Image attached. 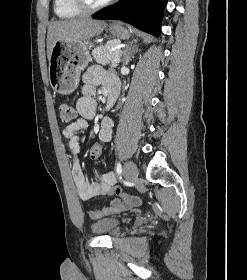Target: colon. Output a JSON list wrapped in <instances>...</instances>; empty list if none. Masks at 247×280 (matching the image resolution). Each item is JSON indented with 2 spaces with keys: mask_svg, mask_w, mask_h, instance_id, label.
<instances>
[{
  "mask_svg": "<svg viewBox=\"0 0 247 280\" xmlns=\"http://www.w3.org/2000/svg\"><path fill=\"white\" fill-rule=\"evenodd\" d=\"M76 116L74 108L71 106V104L67 102H61L59 104V117L60 120L64 123H68L72 121ZM104 146L105 141L103 139H96L94 141V145L90 148V157L92 159H97L101 155L104 154Z\"/></svg>",
  "mask_w": 247,
  "mask_h": 280,
  "instance_id": "5ec220e1",
  "label": "colon"
}]
</instances>
